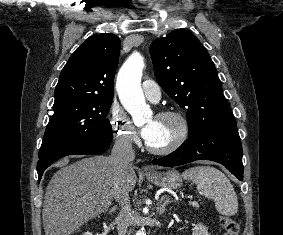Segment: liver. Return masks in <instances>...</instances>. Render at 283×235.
I'll return each instance as SVG.
<instances>
[{
  "mask_svg": "<svg viewBox=\"0 0 283 235\" xmlns=\"http://www.w3.org/2000/svg\"><path fill=\"white\" fill-rule=\"evenodd\" d=\"M67 161L50 180L42 219L45 235H71L84 223L106 212L114 197L115 171L110 156ZM134 168L126 178L128 191L136 184Z\"/></svg>",
  "mask_w": 283,
  "mask_h": 235,
  "instance_id": "liver-1",
  "label": "liver"
}]
</instances>
